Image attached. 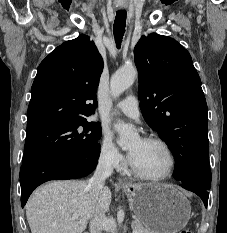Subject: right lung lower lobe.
Returning <instances> with one entry per match:
<instances>
[{"instance_id":"right-lung-lower-lobe-1","label":"right lung lower lobe","mask_w":227,"mask_h":233,"mask_svg":"<svg viewBox=\"0 0 227 233\" xmlns=\"http://www.w3.org/2000/svg\"><path fill=\"white\" fill-rule=\"evenodd\" d=\"M99 154L100 149L87 157L54 153L42 155L23 163L20 168L22 207L33 190L46 181L87 176L95 169Z\"/></svg>"}]
</instances>
